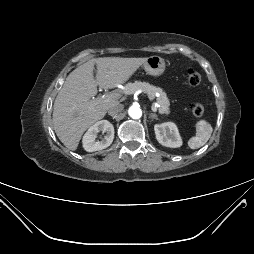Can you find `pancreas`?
I'll list each match as a JSON object with an SVG mask.
<instances>
[{"mask_svg": "<svg viewBox=\"0 0 254 254\" xmlns=\"http://www.w3.org/2000/svg\"><path fill=\"white\" fill-rule=\"evenodd\" d=\"M137 90L144 91V93H146L150 99H154L156 93H158L159 96L156 98L159 104V107L157 109L158 112L160 114H165V115L170 114L169 99L167 98L166 93L161 88L155 87L146 82L135 81L134 83L126 84L125 89L123 90V93L130 95L136 92Z\"/></svg>", "mask_w": 254, "mask_h": 254, "instance_id": "1", "label": "pancreas"}]
</instances>
